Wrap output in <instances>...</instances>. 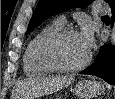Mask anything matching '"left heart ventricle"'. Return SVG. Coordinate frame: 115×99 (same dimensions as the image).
Masks as SVG:
<instances>
[{
	"label": "left heart ventricle",
	"instance_id": "obj_1",
	"mask_svg": "<svg viewBox=\"0 0 115 99\" xmlns=\"http://www.w3.org/2000/svg\"><path fill=\"white\" fill-rule=\"evenodd\" d=\"M88 50L85 47L80 35L68 36L61 40L54 48V55L57 61L65 66L80 64L87 56Z\"/></svg>",
	"mask_w": 115,
	"mask_h": 99
}]
</instances>
